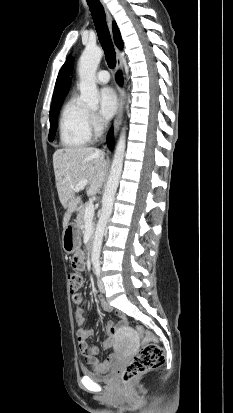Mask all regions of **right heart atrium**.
<instances>
[{"label":"right heart atrium","instance_id":"1","mask_svg":"<svg viewBox=\"0 0 233 413\" xmlns=\"http://www.w3.org/2000/svg\"><path fill=\"white\" fill-rule=\"evenodd\" d=\"M90 123H91V126H92L94 129H96V130H99V129L102 127L99 119H98L97 116H96L95 114H93V113L90 114Z\"/></svg>","mask_w":233,"mask_h":413}]
</instances>
